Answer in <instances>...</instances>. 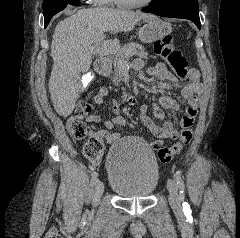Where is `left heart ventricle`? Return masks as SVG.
I'll list each match as a JSON object with an SVG mask.
<instances>
[{
    "instance_id": "obj_1",
    "label": "left heart ventricle",
    "mask_w": 240,
    "mask_h": 238,
    "mask_svg": "<svg viewBox=\"0 0 240 238\" xmlns=\"http://www.w3.org/2000/svg\"><path fill=\"white\" fill-rule=\"evenodd\" d=\"M124 1H127V2H142V1H145V0H124Z\"/></svg>"
}]
</instances>
